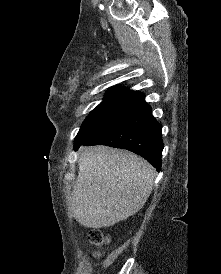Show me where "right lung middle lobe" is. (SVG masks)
<instances>
[{"mask_svg": "<svg viewBox=\"0 0 221 274\" xmlns=\"http://www.w3.org/2000/svg\"><path fill=\"white\" fill-rule=\"evenodd\" d=\"M131 103L132 101L129 100L104 99L84 120L75 138V146L81 145L98 134Z\"/></svg>", "mask_w": 221, "mask_h": 274, "instance_id": "dd1d6c3e", "label": "right lung middle lobe"}]
</instances>
